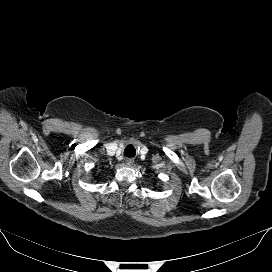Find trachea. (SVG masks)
<instances>
[{
	"mask_svg": "<svg viewBox=\"0 0 272 272\" xmlns=\"http://www.w3.org/2000/svg\"><path fill=\"white\" fill-rule=\"evenodd\" d=\"M136 154V150L133 145L129 144L125 150H124V155L127 157H134Z\"/></svg>",
	"mask_w": 272,
	"mask_h": 272,
	"instance_id": "3493384b",
	"label": "trachea"
}]
</instances>
